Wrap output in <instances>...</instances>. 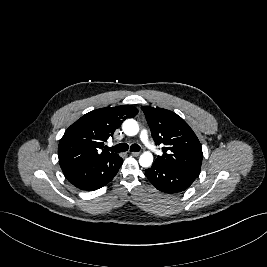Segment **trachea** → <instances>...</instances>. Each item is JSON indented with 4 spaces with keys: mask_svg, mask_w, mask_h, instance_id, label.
I'll list each match as a JSON object with an SVG mask.
<instances>
[{
    "mask_svg": "<svg viewBox=\"0 0 267 267\" xmlns=\"http://www.w3.org/2000/svg\"><path fill=\"white\" fill-rule=\"evenodd\" d=\"M130 148V151H135L139 152L140 151V146L138 144H132L130 147L126 143H120L116 146H113L111 148H108L109 151L112 152H125Z\"/></svg>",
    "mask_w": 267,
    "mask_h": 267,
    "instance_id": "obj_1",
    "label": "trachea"
}]
</instances>
